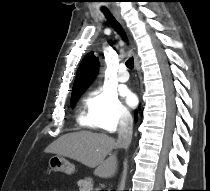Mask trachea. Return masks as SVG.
Segmentation results:
<instances>
[{"instance_id": "1", "label": "trachea", "mask_w": 210, "mask_h": 191, "mask_svg": "<svg viewBox=\"0 0 210 191\" xmlns=\"http://www.w3.org/2000/svg\"><path fill=\"white\" fill-rule=\"evenodd\" d=\"M106 17L108 18L109 20V23L111 24V26L120 34L124 37V39H126V34L122 28V26L116 21V19L113 17V15L106 9L103 10ZM133 65H134V62H133V57L129 58L127 61H126V66L129 68V69H133Z\"/></svg>"}]
</instances>
